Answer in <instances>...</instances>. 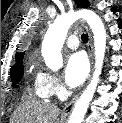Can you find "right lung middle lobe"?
Wrapping results in <instances>:
<instances>
[{"label": "right lung middle lobe", "instance_id": "dd1d6c3e", "mask_svg": "<svg viewBox=\"0 0 122 123\" xmlns=\"http://www.w3.org/2000/svg\"><path fill=\"white\" fill-rule=\"evenodd\" d=\"M23 64L16 66L10 70V78L12 81V87H18L17 83H19L21 77L23 76Z\"/></svg>", "mask_w": 122, "mask_h": 123}]
</instances>
